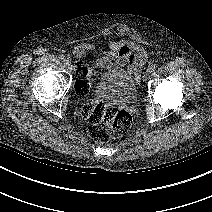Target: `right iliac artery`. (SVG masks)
<instances>
[{
  "label": "right iliac artery",
  "mask_w": 212,
  "mask_h": 212,
  "mask_svg": "<svg viewBox=\"0 0 212 212\" xmlns=\"http://www.w3.org/2000/svg\"><path fill=\"white\" fill-rule=\"evenodd\" d=\"M59 59H60L61 61H65V56H64L63 54H60V55H59Z\"/></svg>",
  "instance_id": "obj_1"
}]
</instances>
